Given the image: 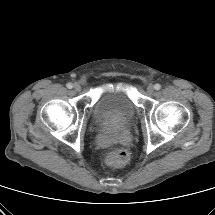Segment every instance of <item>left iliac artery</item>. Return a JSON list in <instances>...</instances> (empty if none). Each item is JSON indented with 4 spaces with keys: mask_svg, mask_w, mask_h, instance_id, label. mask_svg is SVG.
<instances>
[{
    "mask_svg": "<svg viewBox=\"0 0 215 215\" xmlns=\"http://www.w3.org/2000/svg\"><path fill=\"white\" fill-rule=\"evenodd\" d=\"M154 88H155L156 90H160V89H161V85H160V84H155V85H154Z\"/></svg>",
    "mask_w": 215,
    "mask_h": 215,
    "instance_id": "44dca946",
    "label": "left iliac artery"
}]
</instances>
